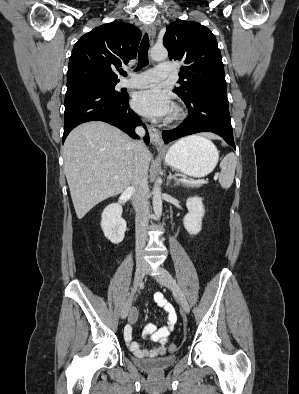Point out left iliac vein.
<instances>
[{
    "mask_svg": "<svg viewBox=\"0 0 299 394\" xmlns=\"http://www.w3.org/2000/svg\"><path fill=\"white\" fill-rule=\"evenodd\" d=\"M155 278L157 279V281L161 285L167 287L168 289H170L176 295V297H177V299H178L183 311L186 312V313H189L190 306L188 304V301H187L185 295L183 294L182 290L180 289V287L176 283V281L169 274V272L166 271L165 269L161 268L160 269V273L155 275Z\"/></svg>",
    "mask_w": 299,
    "mask_h": 394,
    "instance_id": "4c4485c4",
    "label": "left iliac vein"
}]
</instances>
